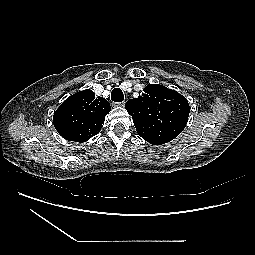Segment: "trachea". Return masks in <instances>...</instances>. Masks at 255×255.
Returning <instances> with one entry per match:
<instances>
[{"label":"trachea","instance_id":"3493384b","mask_svg":"<svg viewBox=\"0 0 255 255\" xmlns=\"http://www.w3.org/2000/svg\"><path fill=\"white\" fill-rule=\"evenodd\" d=\"M111 99L114 102H122L124 100L123 92L120 88H115L112 90Z\"/></svg>","mask_w":255,"mask_h":255}]
</instances>
